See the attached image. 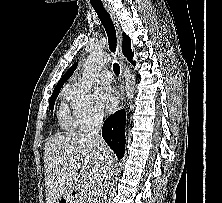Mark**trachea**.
Wrapping results in <instances>:
<instances>
[{
    "label": "trachea",
    "instance_id": "3493384b",
    "mask_svg": "<svg viewBox=\"0 0 222 203\" xmlns=\"http://www.w3.org/2000/svg\"><path fill=\"white\" fill-rule=\"evenodd\" d=\"M92 6L94 10L96 11L98 18L100 19L107 33L109 49L111 50V52L115 53L116 45H117V38H116V30H115L113 21L102 4L101 5L92 4ZM113 71L116 75L120 74V66L118 63L113 64Z\"/></svg>",
    "mask_w": 222,
    "mask_h": 203
}]
</instances>
